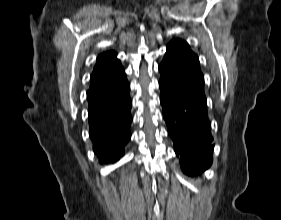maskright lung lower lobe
Returning a JSON list of instances; mask_svg holds the SVG:
<instances>
[{
    "mask_svg": "<svg viewBox=\"0 0 281 220\" xmlns=\"http://www.w3.org/2000/svg\"><path fill=\"white\" fill-rule=\"evenodd\" d=\"M129 90L125 79L114 87L87 92L90 138L101 164L113 163L124 155V147L131 136Z\"/></svg>",
    "mask_w": 281,
    "mask_h": 220,
    "instance_id": "98d812e1",
    "label": "right lung lower lobe"
}]
</instances>
